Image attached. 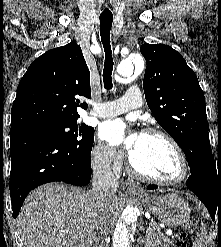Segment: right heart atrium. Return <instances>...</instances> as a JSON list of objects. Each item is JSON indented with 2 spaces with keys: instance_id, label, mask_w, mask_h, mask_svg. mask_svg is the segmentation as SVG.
Instances as JSON below:
<instances>
[{
  "instance_id": "right-heart-atrium-1",
  "label": "right heart atrium",
  "mask_w": 221,
  "mask_h": 247,
  "mask_svg": "<svg viewBox=\"0 0 221 247\" xmlns=\"http://www.w3.org/2000/svg\"><path fill=\"white\" fill-rule=\"evenodd\" d=\"M91 161L94 168L118 175L123 169L124 155L120 151L99 143L91 151Z\"/></svg>"
}]
</instances>
